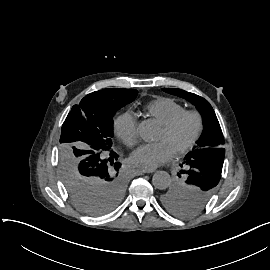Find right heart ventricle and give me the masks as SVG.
Segmentation results:
<instances>
[{"mask_svg": "<svg viewBox=\"0 0 270 270\" xmlns=\"http://www.w3.org/2000/svg\"><path fill=\"white\" fill-rule=\"evenodd\" d=\"M184 106L166 97H158L146 106L147 114L165 124L184 111Z\"/></svg>", "mask_w": 270, "mask_h": 270, "instance_id": "1", "label": "right heart ventricle"}]
</instances>
